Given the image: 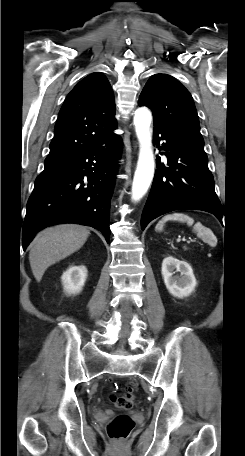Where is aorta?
Instances as JSON below:
<instances>
[{"mask_svg":"<svg viewBox=\"0 0 245 456\" xmlns=\"http://www.w3.org/2000/svg\"><path fill=\"white\" fill-rule=\"evenodd\" d=\"M151 112L141 107L135 111L134 125L139 141V157L132 184V200L139 201L147 192L154 176V155L152 150Z\"/></svg>","mask_w":245,"mask_h":456,"instance_id":"aorta-1","label":"aorta"}]
</instances>
